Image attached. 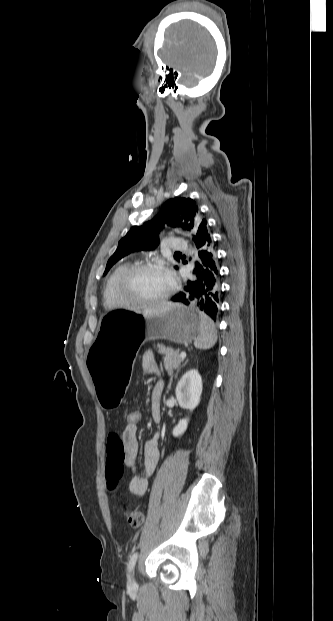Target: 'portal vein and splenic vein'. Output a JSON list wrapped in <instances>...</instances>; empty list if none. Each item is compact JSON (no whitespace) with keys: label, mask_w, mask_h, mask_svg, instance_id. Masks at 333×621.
<instances>
[{"label":"portal vein and splenic vein","mask_w":333,"mask_h":621,"mask_svg":"<svg viewBox=\"0 0 333 621\" xmlns=\"http://www.w3.org/2000/svg\"><path fill=\"white\" fill-rule=\"evenodd\" d=\"M180 358L184 359L186 357V353L185 352H181L179 355Z\"/></svg>","instance_id":"1"}]
</instances>
